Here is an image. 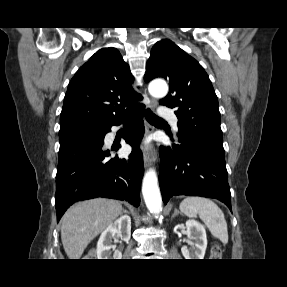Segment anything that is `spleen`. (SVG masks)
<instances>
[{
    "label": "spleen",
    "mask_w": 287,
    "mask_h": 287,
    "mask_svg": "<svg viewBox=\"0 0 287 287\" xmlns=\"http://www.w3.org/2000/svg\"><path fill=\"white\" fill-rule=\"evenodd\" d=\"M179 208L187 216L198 215L215 238H218L223 244L228 243L227 222L222 210L212 200L191 196L185 198Z\"/></svg>",
    "instance_id": "1"
}]
</instances>
